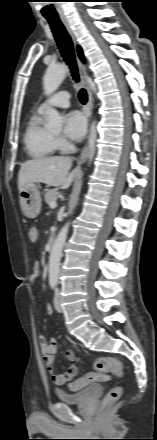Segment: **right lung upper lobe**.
<instances>
[{
    "label": "right lung upper lobe",
    "instance_id": "1",
    "mask_svg": "<svg viewBox=\"0 0 157 440\" xmlns=\"http://www.w3.org/2000/svg\"><path fill=\"white\" fill-rule=\"evenodd\" d=\"M77 51H78V55H79L80 59H81L82 61H84L83 52H82V49H81L80 46H78Z\"/></svg>",
    "mask_w": 157,
    "mask_h": 440
}]
</instances>
